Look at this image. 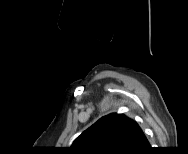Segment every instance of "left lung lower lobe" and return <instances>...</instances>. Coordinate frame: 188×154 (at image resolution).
<instances>
[{
  "label": "left lung lower lobe",
  "instance_id": "left-lung-lower-lobe-1",
  "mask_svg": "<svg viewBox=\"0 0 188 154\" xmlns=\"http://www.w3.org/2000/svg\"><path fill=\"white\" fill-rule=\"evenodd\" d=\"M149 146V142L144 135L143 131L139 127L138 124H136L134 137L132 140V144L130 147V153H135L136 151H139L141 149L147 148Z\"/></svg>",
  "mask_w": 188,
  "mask_h": 154
}]
</instances>
